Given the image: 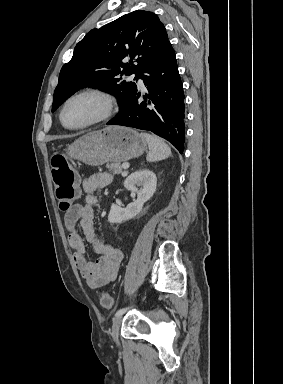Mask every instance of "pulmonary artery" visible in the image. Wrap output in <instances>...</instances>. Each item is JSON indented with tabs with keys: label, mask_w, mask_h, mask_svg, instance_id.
Masks as SVG:
<instances>
[{
	"label": "pulmonary artery",
	"mask_w": 283,
	"mask_h": 384,
	"mask_svg": "<svg viewBox=\"0 0 283 384\" xmlns=\"http://www.w3.org/2000/svg\"><path fill=\"white\" fill-rule=\"evenodd\" d=\"M136 76H137V74H136V73H133V74L131 75V78H134V77H136ZM138 85H139L140 88H144V83H138Z\"/></svg>",
	"instance_id": "e3ab8cb5"
}]
</instances>
